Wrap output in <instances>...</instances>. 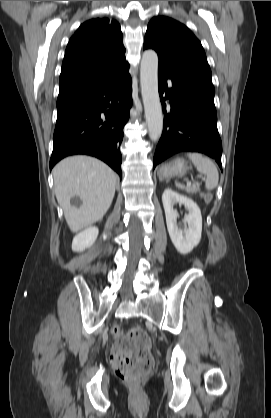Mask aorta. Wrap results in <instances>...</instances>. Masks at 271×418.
<instances>
[{"label":"aorta","mask_w":271,"mask_h":418,"mask_svg":"<svg viewBox=\"0 0 271 418\" xmlns=\"http://www.w3.org/2000/svg\"><path fill=\"white\" fill-rule=\"evenodd\" d=\"M140 83L149 137L156 142L163 131V115L158 92V56L145 50L140 66Z\"/></svg>","instance_id":"762f6f07"}]
</instances>
